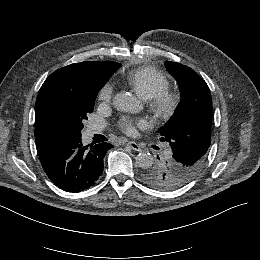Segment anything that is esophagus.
Returning <instances> with one entry per match:
<instances>
[{"label":"esophagus","mask_w":260,"mask_h":260,"mask_svg":"<svg viewBox=\"0 0 260 260\" xmlns=\"http://www.w3.org/2000/svg\"><path fill=\"white\" fill-rule=\"evenodd\" d=\"M128 145H129L133 150H135V151H137V152H141V151H142L141 147H140L137 143H135L134 141H129V142H128Z\"/></svg>","instance_id":"1"}]
</instances>
